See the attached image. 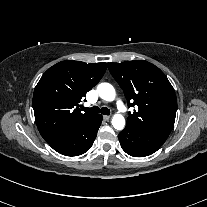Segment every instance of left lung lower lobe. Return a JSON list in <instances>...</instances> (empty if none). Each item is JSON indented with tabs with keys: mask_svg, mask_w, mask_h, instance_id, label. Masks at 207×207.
Listing matches in <instances>:
<instances>
[{
	"mask_svg": "<svg viewBox=\"0 0 207 207\" xmlns=\"http://www.w3.org/2000/svg\"><path fill=\"white\" fill-rule=\"evenodd\" d=\"M122 149L134 157H144L156 152L167 138L141 132L129 126L119 133Z\"/></svg>",
	"mask_w": 207,
	"mask_h": 207,
	"instance_id": "obj_1",
	"label": "left lung lower lobe"
}]
</instances>
